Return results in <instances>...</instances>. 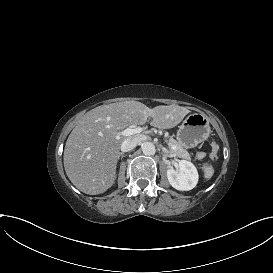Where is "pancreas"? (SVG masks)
Masks as SVG:
<instances>
[{
  "instance_id": "pancreas-1",
  "label": "pancreas",
  "mask_w": 273,
  "mask_h": 273,
  "mask_svg": "<svg viewBox=\"0 0 273 273\" xmlns=\"http://www.w3.org/2000/svg\"><path fill=\"white\" fill-rule=\"evenodd\" d=\"M168 145H169V150H168L169 153L174 154L177 157L190 160V154L188 153V151L186 149H184L175 139L170 138L168 140ZM171 145L177 146L178 150L177 151L171 150L170 149Z\"/></svg>"
}]
</instances>
